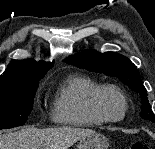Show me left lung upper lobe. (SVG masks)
<instances>
[{
	"label": "left lung upper lobe",
	"instance_id": "5c2ea615",
	"mask_svg": "<svg viewBox=\"0 0 155 149\" xmlns=\"http://www.w3.org/2000/svg\"><path fill=\"white\" fill-rule=\"evenodd\" d=\"M64 61L78 68L117 77L140 95L142 103L140 116L155 122V116L148 102L147 91L142 84L139 71L127 57L114 52L98 53L86 50L77 55L69 56Z\"/></svg>",
	"mask_w": 155,
	"mask_h": 149
}]
</instances>
